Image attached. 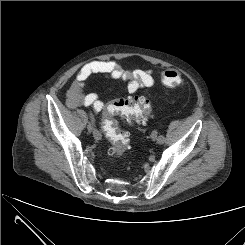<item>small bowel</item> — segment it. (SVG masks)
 Masks as SVG:
<instances>
[{"instance_id": "obj_1", "label": "small bowel", "mask_w": 245, "mask_h": 245, "mask_svg": "<svg viewBox=\"0 0 245 245\" xmlns=\"http://www.w3.org/2000/svg\"><path fill=\"white\" fill-rule=\"evenodd\" d=\"M97 74L125 81V92L128 94H135L143 88H151L156 83L151 70H125L112 60L91 62L79 70L71 84L66 99L68 107L75 109L90 106L99 113L108 106V102L100 99L98 94L85 91L87 80Z\"/></svg>"}]
</instances>
